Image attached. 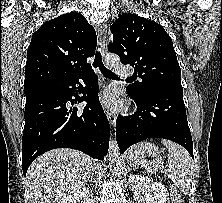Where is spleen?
Returning <instances> with one entry per match:
<instances>
[{"label": "spleen", "mask_w": 222, "mask_h": 203, "mask_svg": "<svg viewBox=\"0 0 222 203\" xmlns=\"http://www.w3.org/2000/svg\"><path fill=\"white\" fill-rule=\"evenodd\" d=\"M162 143L168 149V167L165 174L183 193H187L194 176L193 161L189 153L179 144L165 139Z\"/></svg>", "instance_id": "spleen-1"}]
</instances>
